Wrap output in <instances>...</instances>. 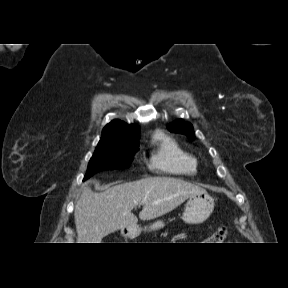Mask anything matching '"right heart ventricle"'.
Here are the masks:
<instances>
[{"instance_id":"obj_1","label":"right heart ventricle","mask_w":288,"mask_h":288,"mask_svg":"<svg viewBox=\"0 0 288 288\" xmlns=\"http://www.w3.org/2000/svg\"><path fill=\"white\" fill-rule=\"evenodd\" d=\"M156 149L151 157L154 169L175 174L194 175L198 171V161L184 150L173 138L159 132L154 136Z\"/></svg>"}]
</instances>
